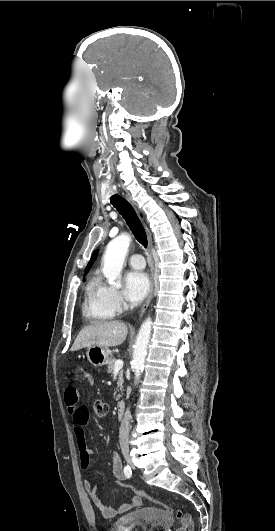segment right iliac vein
<instances>
[{
  "instance_id": "1",
  "label": "right iliac vein",
  "mask_w": 275,
  "mask_h": 531,
  "mask_svg": "<svg viewBox=\"0 0 275 531\" xmlns=\"http://www.w3.org/2000/svg\"><path fill=\"white\" fill-rule=\"evenodd\" d=\"M124 458H125L126 462L132 466L131 459H130V457H129V455L127 453H124Z\"/></svg>"
}]
</instances>
